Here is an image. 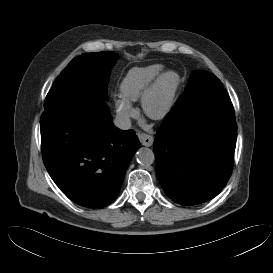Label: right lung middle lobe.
Instances as JSON below:
<instances>
[{
	"mask_svg": "<svg viewBox=\"0 0 273 273\" xmlns=\"http://www.w3.org/2000/svg\"><path fill=\"white\" fill-rule=\"evenodd\" d=\"M117 58V54L112 51L84 53L74 58L48 92L44 109L58 100L76 94L91 93L107 100L109 76Z\"/></svg>",
	"mask_w": 273,
	"mask_h": 273,
	"instance_id": "obj_1",
	"label": "right lung middle lobe"
}]
</instances>
